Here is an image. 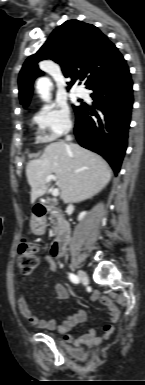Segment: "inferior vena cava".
<instances>
[{
  "instance_id": "obj_1",
  "label": "inferior vena cava",
  "mask_w": 145,
  "mask_h": 385,
  "mask_svg": "<svg viewBox=\"0 0 145 385\" xmlns=\"http://www.w3.org/2000/svg\"><path fill=\"white\" fill-rule=\"evenodd\" d=\"M66 140H67V141H71V140H72V137H71L70 135H67V136H66Z\"/></svg>"
}]
</instances>
